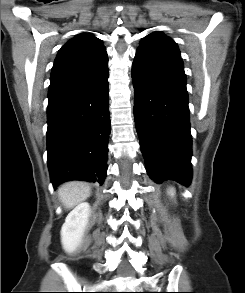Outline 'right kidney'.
I'll use <instances>...</instances> for the list:
<instances>
[{"mask_svg":"<svg viewBox=\"0 0 245 293\" xmlns=\"http://www.w3.org/2000/svg\"><path fill=\"white\" fill-rule=\"evenodd\" d=\"M90 216L87 202L78 204L66 217L61 228V242L66 252H74L80 245Z\"/></svg>","mask_w":245,"mask_h":293,"instance_id":"1","label":"right kidney"}]
</instances>
